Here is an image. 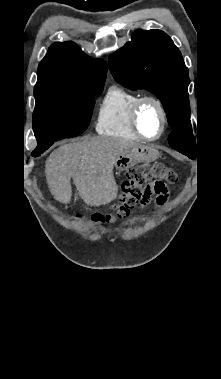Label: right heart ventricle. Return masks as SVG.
<instances>
[{
	"label": "right heart ventricle",
	"instance_id": "e07e8e85",
	"mask_svg": "<svg viewBox=\"0 0 221 379\" xmlns=\"http://www.w3.org/2000/svg\"><path fill=\"white\" fill-rule=\"evenodd\" d=\"M140 97V93L122 86L109 88L99 108L97 132L105 136L139 140L140 137L132 128L130 114L133 105Z\"/></svg>",
	"mask_w": 221,
	"mask_h": 379
}]
</instances>
